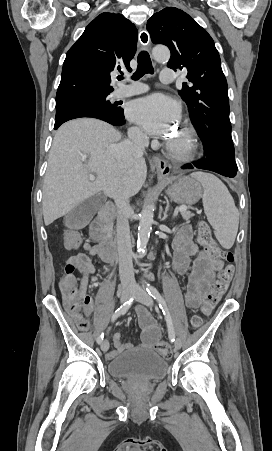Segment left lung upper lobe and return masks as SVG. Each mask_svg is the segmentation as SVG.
<instances>
[{
    "mask_svg": "<svg viewBox=\"0 0 272 451\" xmlns=\"http://www.w3.org/2000/svg\"><path fill=\"white\" fill-rule=\"evenodd\" d=\"M154 44L171 51L167 66L187 72L190 84L179 91L198 126L204 153L237 168L229 120L227 81L219 53L211 36L192 17L175 7H166L147 21Z\"/></svg>",
    "mask_w": 272,
    "mask_h": 451,
    "instance_id": "obj_1",
    "label": "left lung upper lobe"
}]
</instances>
